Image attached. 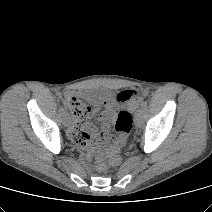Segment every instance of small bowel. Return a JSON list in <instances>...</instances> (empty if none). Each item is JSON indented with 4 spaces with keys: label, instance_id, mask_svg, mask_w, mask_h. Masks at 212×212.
<instances>
[{
    "label": "small bowel",
    "instance_id": "small-bowel-1",
    "mask_svg": "<svg viewBox=\"0 0 212 212\" xmlns=\"http://www.w3.org/2000/svg\"><path fill=\"white\" fill-rule=\"evenodd\" d=\"M94 106L95 110L100 107L103 109L99 113V119L104 123L99 132L98 129L89 121L91 108L82 116H74L72 127L69 129V137L82 148L89 151H101L109 144L112 145L113 139L109 136V122L112 121L117 112V105L111 100L109 94L105 92H79L76 94Z\"/></svg>",
    "mask_w": 212,
    "mask_h": 212
}]
</instances>
